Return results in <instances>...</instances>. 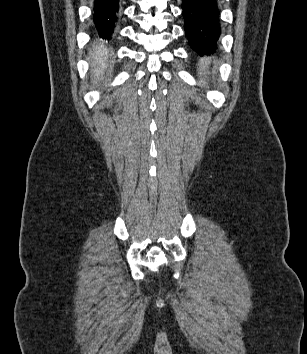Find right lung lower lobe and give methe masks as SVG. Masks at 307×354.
<instances>
[{"label": "right lung lower lobe", "mask_w": 307, "mask_h": 354, "mask_svg": "<svg viewBox=\"0 0 307 354\" xmlns=\"http://www.w3.org/2000/svg\"><path fill=\"white\" fill-rule=\"evenodd\" d=\"M119 0H94L92 19L98 34L110 39L119 17Z\"/></svg>", "instance_id": "1"}]
</instances>
